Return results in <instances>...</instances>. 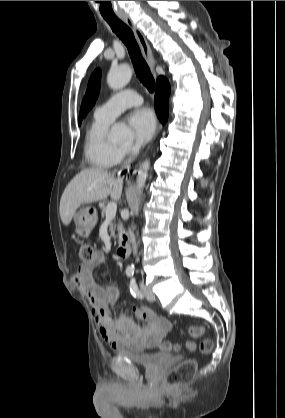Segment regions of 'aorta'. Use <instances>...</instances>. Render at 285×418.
<instances>
[{
  "label": "aorta",
  "mask_w": 285,
  "mask_h": 418,
  "mask_svg": "<svg viewBox=\"0 0 285 418\" xmlns=\"http://www.w3.org/2000/svg\"><path fill=\"white\" fill-rule=\"evenodd\" d=\"M132 77V70L128 64H121L116 67H112L107 75V83L113 90H119L125 87ZM111 139L116 142H122L131 136L130 129L124 124H115L111 128ZM150 168L149 160H145L138 170L137 176V189L142 191L145 186V182L148 176V170Z\"/></svg>",
  "instance_id": "762f6f07"
}]
</instances>
